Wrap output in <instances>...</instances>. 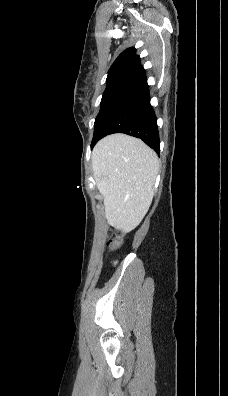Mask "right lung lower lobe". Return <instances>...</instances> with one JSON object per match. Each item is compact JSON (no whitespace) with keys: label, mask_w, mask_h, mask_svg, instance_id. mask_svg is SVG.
<instances>
[{"label":"right lung lower lobe","mask_w":228,"mask_h":396,"mask_svg":"<svg viewBox=\"0 0 228 396\" xmlns=\"http://www.w3.org/2000/svg\"><path fill=\"white\" fill-rule=\"evenodd\" d=\"M113 133H125L142 139L159 153L157 118L150 104L146 76L125 87L108 105L95 125L91 148Z\"/></svg>","instance_id":"obj_1"}]
</instances>
